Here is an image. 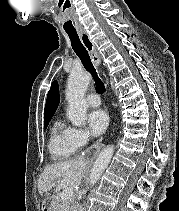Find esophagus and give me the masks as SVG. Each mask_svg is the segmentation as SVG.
I'll return each mask as SVG.
<instances>
[{
	"mask_svg": "<svg viewBox=\"0 0 179 211\" xmlns=\"http://www.w3.org/2000/svg\"><path fill=\"white\" fill-rule=\"evenodd\" d=\"M79 35L84 44L90 49V56L95 66H99L101 63V57L94 45L91 44L87 33L84 30H79ZM107 88V86H106ZM104 144H95V147H88V151H83L82 159H85V163H93L94 156H97V152H102Z\"/></svg>",
	"mask_w": 179,
	"mask_h": 211,
	"instance_id": "obj_1",
	"label": "esophagus"
}]
</instances>
